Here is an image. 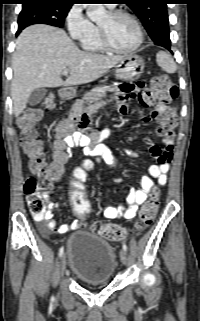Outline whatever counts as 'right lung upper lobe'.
<instances>
[{
  "instance_id": "1",
  "label": "right lung upper lobe",
  "mask_w": 200,
  "mask_h": 321,
  "mask_svg": "<svg viewBox=\"0 0 200 321\" xmlns=\"http://www.w3.org/2000/svg\"><path fill=\"white\" fill-rule=\"evenodd\" d=\"M21 1L27 2V1H36V0H21ZM40 1H56V2H59V4L71 6L76 0H40Z\"/></svg>"
}]
</instances>
